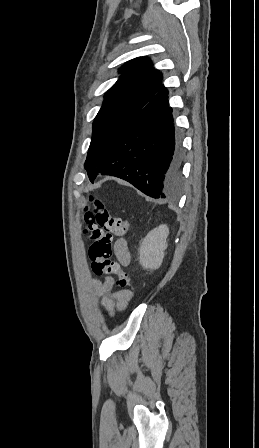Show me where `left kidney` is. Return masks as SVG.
<instances>
[{
  "label": "left kidney",
  "instance_id": "obj_1",
  "mask_svg": "<svg viewBox=\"0 0 259 448\" xmlns=\"http://www.w3.org/2000/svg\"><path fill=\"white\" fill-rule=\"evenodd\" d=\"M168 234V226L162 224V226L151 230L144 238L139 248V260L144 270H158L160 268L164 252L167 250L166 238Z\"/></svg>",
  "mask_w": 259,
  "mask_h": 448
}]
</instances>
